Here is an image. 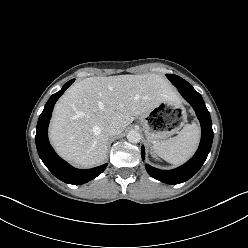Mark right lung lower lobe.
I'll list each match as a JSON object with an SVG mask.
<instances>
[{
	"instance_id": "98d812e1",
	"label": "right lung lower lobe",
	"mask_w": 248,
	"mask_h": 248,
	"mask_svg": "<svg viewBox=\"0 0 248 248\" xmlns=\"http://www.w3.org/2000/svg\"><path fill=\"white\" fill-rule=\"evenodd\" d=\"M73 82L74 79L68 81L59 92L53 94L47 101L38 119L35 141L41 160L55 177L68 184L80 185L99 176L105 170L107 164L88 170L73 168L57 156L48 140V125L53 107L59 97Z\"/></svg>"
}]
</instances>
